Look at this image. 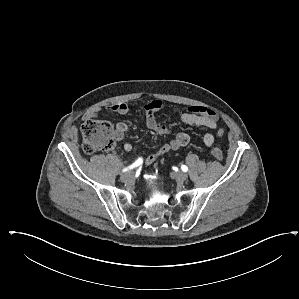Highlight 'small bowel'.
Masks as SVG:
<instances>
[{
	"label": "small bowel",
	"mask_w": 299,
	"mask_h": 299,
	"mask_svg": "<svg viewBox=\"0 0 299 299\" xmlns=\"http://www.w3.org/2000/svg\"><path fill=\"white\" fill-rule=\"evenodd\" d=\"M162 102L154 100L146 104L144 109L146 127L149 130L154 131L160 136H165L169 133L167 125L160 123L156 119L157 112L161 109ZM106 109L110 112L118 114H126L129 110L128 105L123 102H118L106 106ZM100 114L99 108L90 109L85 115L84 120H89L97 117ZM181 120L189 125H196L209 128L215 133L208 132L204 135L203 141L206 146H211L215 138H220L224 134V128L218 126L219 116L216 111L206 107L192 106L180 109ZM128 131V125L125 122H119L116 125V139L122 140L125 133ZM190 141V137L185 132L176 134L171 140L163 144L156 153L148 156L145 160L146 165H151L169 151H175L182 147H185ZM123 149L126 152L133 150V145L129 142L125 143Z\"/></svg>",
	"instance_id": "obj_1"
}]
</instances>
